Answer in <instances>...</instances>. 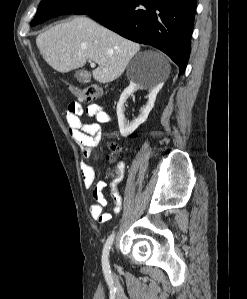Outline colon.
<instances>
[{"label":"colon","mask_w":247,"mask_h":299,"mask_svg":"<svg viewBox=\"0 0 247 299\" xmlns=\"http://www.w3.org/2000/svg\"><path fill=\"white\" fill-rule=\"evenodd\" d=\"M67 87L76 98L82 101H94L104 94L103 88L97 84H90L82 87L67 83ZM111 150L114 152L117 150V147L112 144Z\"/></svg>","instance_id":"1"}]
</instances>
